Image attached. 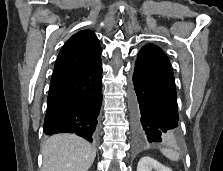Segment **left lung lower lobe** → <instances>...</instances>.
Segmentation results:
<instances>
[{
	"label": "left lung lower lobe",
	"instance_id": "0a47b994",
	"mask_svg": "<svg viewBox=\"0 0 223 171\" xmlns=\"http://www.w3.org/2000/svg\"><path fill=\"white\" fill-rule=\"evenodd\" d=\"M133 135L137 146L180 137L176 85L171 64L156 45L140 50L133 73Z\"/></svg>",
	"mask_w": 223,
	"mask_h": 171
}]
</instances>
